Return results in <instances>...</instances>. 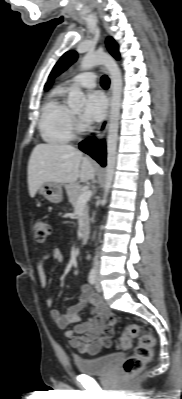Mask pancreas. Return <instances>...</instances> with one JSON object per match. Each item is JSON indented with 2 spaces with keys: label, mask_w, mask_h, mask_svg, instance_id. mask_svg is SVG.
<instances>
[{
  "label": "pancreas",
  "mask_w": 182,
  "mask_h": 399,
  "mask_svg": "<svg viewBox=\"0 0 182 399\" xmlns=\"http://www.w3.org/2000/svg\"><path fill=\"white\" fill-rule=\"evenodd\" d=\"M70 204L76 208L80 194L83 192L78 183H69L65 186ZM89 227V208L85 204L81 215L79 216V229L81 233L87 231Z\"/></svg>",
  "instance_id": "cf45deb5"
}]
</instances>
